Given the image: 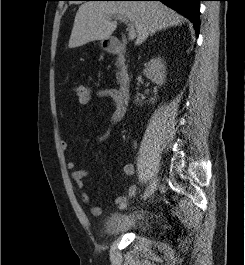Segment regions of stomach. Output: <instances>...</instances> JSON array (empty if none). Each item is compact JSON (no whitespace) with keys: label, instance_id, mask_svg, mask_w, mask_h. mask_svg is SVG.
Wrapping results in <instances>:
<instances>
[{"label":"stomach","instance_id":"obj_1","mask_svg":"<svg viewBox=\"0 0 245 265\" xmlns=\"http://www.w3.org/2000/svg\"><path fill=\"white\" fill-rule=\"evenodd\" d=\"M101 46L103 49H108L109 48V44L106 43L104 40L101 42Z\"/></svg>","mask_w":245,"mask_h":265}]
</instances>
